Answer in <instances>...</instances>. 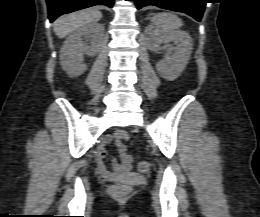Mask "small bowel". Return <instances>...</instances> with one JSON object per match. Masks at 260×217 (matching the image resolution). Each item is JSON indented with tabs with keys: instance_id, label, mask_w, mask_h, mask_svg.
Masks as SVG:
<instances>
[{
	"instance_id": "small-bowel-1",
	"label": "small bowel",
	"mask_w": 260,
	"mask_h": 217,
	"mask_svg": "<svg viewBox=\"0 0 260 217\" xmlns=\"http://www.w3.org/2000/svg\"><path fill=\"white\" fill-rule=\"evenodd\" d=\"M128 137L127 133L123 130H117L114 135L107 136L100 146L97 148L95 161L99 174L106 180H113L117 176L126 175L131 169L133 156L131 153L126 152L123 140ZM113 143L119 152V159L113 158L111 160L112 169L109 170L103 163L106 156V146Z\"/></svg>"
}]
</instances>
